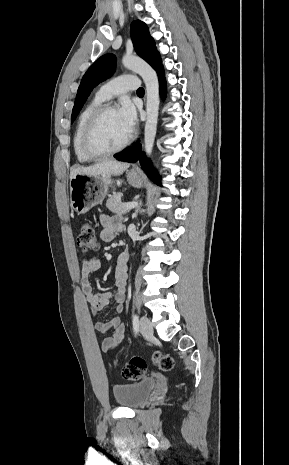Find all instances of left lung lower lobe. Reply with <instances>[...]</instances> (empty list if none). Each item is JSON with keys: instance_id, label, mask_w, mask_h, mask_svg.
Masks as SVG:
<instances>
[{"instance_id": "0a47b994", "label": "left lung lower lobe", "mask_w": 289, "mask_h": 465, "mask_svg": "<svg viewBox=\"0 0 289 465\" xmlns=\"http://www.w3.org/2000/svg\"><path fill=\"white\" fill-rule=\"evenodd\" d=\"M159 81H160L161 94L164 96L166 92V82H165L164 72L159 75ZM141 148H142L141 144L139 143V141H137V143L133 145L131 148L115 154L114 157L119 161L130 162V163H134L138 159H140L141 167L146 172L148 177L153 182L160 185L158 174L153 169L151 162L148 159H146L145 154L141 153Z\"/></svg>"}]
</instances>
